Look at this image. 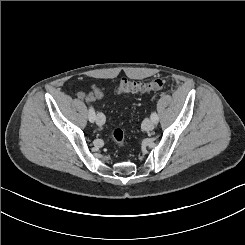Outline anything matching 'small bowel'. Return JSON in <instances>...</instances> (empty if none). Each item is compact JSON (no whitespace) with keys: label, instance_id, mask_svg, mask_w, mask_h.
Returning <instances> with one entry per match:
<instances>
[{"label":"small bowel","instance_id":"1","mask_svg":"<svg viewBox=\"0 0 245 245\" xmlns=\"http://www.w3.org/2000/svg\"><path fill=\"white\" fill-rule=\"evenodd\" d=\"M80 97L86 98L88 101L94 102L103 97V92L97 87L92 86L89 92H79Z\"/></svg>","mask_w":245,"mask_h":245}]
</instances>
